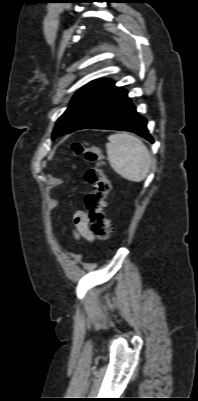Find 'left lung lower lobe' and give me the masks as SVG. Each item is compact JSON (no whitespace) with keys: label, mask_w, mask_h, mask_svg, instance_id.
I'll return each instance as SVG.
<instances>
[{"label":"left lung lower lobe","mask_w":198,"mask_h":401,"mask_svg":"<svg viewBox=\"0 0 198 401\" xmlns=\"http://www.w3.org/2000/svg\"><path fill=\"white\" fill-rule=\"evenodd\" d=\"M114 84L115 82L111 81L92 100L68 129V133L84 128L125 130L134 132L153 143L146 127V120L136 112L126 90Z\"/></svg>","instance_id":"1"}]
</instances>
